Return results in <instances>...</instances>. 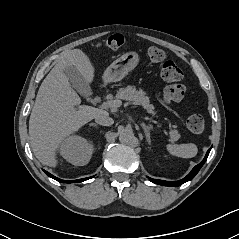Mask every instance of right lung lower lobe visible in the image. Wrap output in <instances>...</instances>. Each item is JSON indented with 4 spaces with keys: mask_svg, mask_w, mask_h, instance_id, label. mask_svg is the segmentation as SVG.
<instances>
[{
    "mask_svg": "<svg viewBox=\"0 0 239 239\" xmlns=\"http://www.w3.org/2000/svg\"><path fill=\"white\" fill-rule=\"evenodd\" d=\"M44 172H45L49 177H51V178H53V179H55V180H57V181H59V182H63V183L83 182V181H85V180L91 178V177H88V178L78 179V180H72V181H70V180H62V179H59V178L53 176L52 174H50L49 172H47V171H45V170H44Z\"/></svg>",
    "mask_w": 239,
    "mask_h": 239,
    "instance_id": "obj_1",
    "label": "right lung lower lobe"
}]
</instances>
